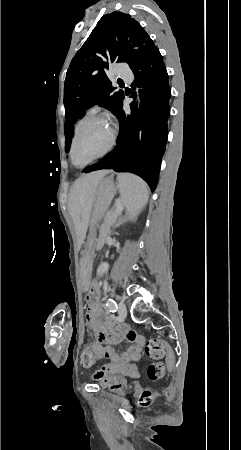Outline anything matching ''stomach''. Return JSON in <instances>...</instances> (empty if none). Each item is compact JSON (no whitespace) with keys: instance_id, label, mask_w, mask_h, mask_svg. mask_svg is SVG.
<instances>
[{"instance_id":"obj_1","label":"stomach","mask_w":241,"mask_h":450,"mask_svg":"<svg viewBox=\"0 0 241 450\" xmlns=\"http://www.w3.org/2000/svg\"><path fill=\"white\" fill-rule=\"evenodd\" d=\"M117 189L118 186L111 177L102 178L98 184L92 211L90 235L80 259L79 285L82 290H86L90 283L94 248L96 245L95 242L97 241L96 228L105 219V213Z\"/></svg>"}]
</instances>
